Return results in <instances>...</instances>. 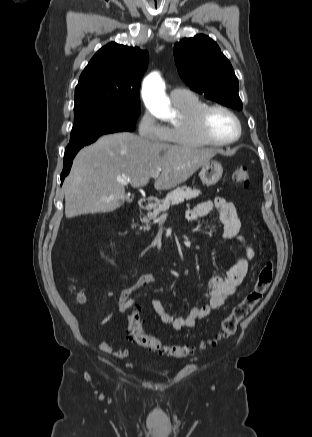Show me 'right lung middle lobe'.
Returning <instances> with one entry per match:
<instances>
[{"label":"right lung middle lobe","mask_w":312,"mask_h":437,"mask_svg":"<svg viewBox=\"0 0 312 437\" xmlns=\"http://www.w3.org/2000/svg\"><path fill=\"white\" fill-rule=\"evenodd\" d=\"M139 113L140 103L134 105L94 103L75 107L74 125L65 154L79 151L103 134L132 132Z\"/></svg>","instance_id":"dd1d6c3e"}]
</instances>
